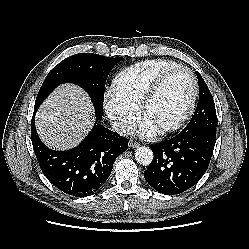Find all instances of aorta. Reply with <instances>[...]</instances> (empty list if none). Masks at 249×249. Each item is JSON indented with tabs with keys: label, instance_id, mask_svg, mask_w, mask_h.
Returning <instances> with one entry per match:
<instances>
[{
	"label": "aorta",
	"instance_id": "obj_1",
	"mask_svg": "<svg viewBox=\"0 0 249 249\" xmlns=\"http://www.w3.org/2000/svg\"><path fill=\"white\" fill-rule=\"evenodd\" d=\"M135 159L140 165L148 166L153 160V152L149 147H138L135 151Z\"/></svg>",
	"mask_w": 249,
	"mask_h": 249
}]
</instances>
